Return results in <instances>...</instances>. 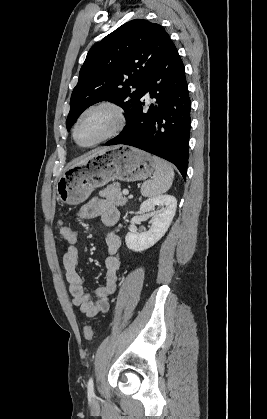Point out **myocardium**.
<instances>
[{
    "label": "myocardium",
    "mask_w": 267,
    "mask_h": 419,
    "mask_svg": "<svg viewBox=\"0 0 267 419\" xmlns=\"http://www.w3.org/2000/svg\"><path fill=\"white\" fill-rule=\"evenodd\" d=\"M98 109H107L109 110L113 117H114V123L110 130L104 134L102 137L97 139L96 141L90 143V144H82L77 136V130L79 127V124L81 123L82 119L91 111L98 110ZM126 124V113L124 108L119 105L118 103L111 101V100H101L97 101L95 103H92L88 105L78 116V118L75 121L74 127H73V138L75 142L84 148H91L94 146H97L103 142L108 141L109 139L116 136L120 131L124 128Z\"/></svg>",
    "instance_id": "f54148a6"
}]
</instances>
